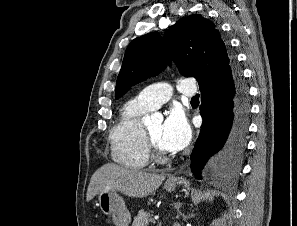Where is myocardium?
I'll return each instance as SVG.
<instances>
[{
  "label": "myocardium",
  "instance_id": "f54148a6",
  "mask_svg": "<svg viewBox=\"0 0 297 226\" xmlns=\"http://www.w3.org/2000/svg\"><path fill=\"white\" fill-rule=\"evenodd\" d=\"M143 137L148 150V153L153 161L157 163H165L169 160V156L166 155L152 140L146 127L143 128Z\"/></svg>",
  "mask_w": 297,
  "mask_h": 226
}]
</instances>
